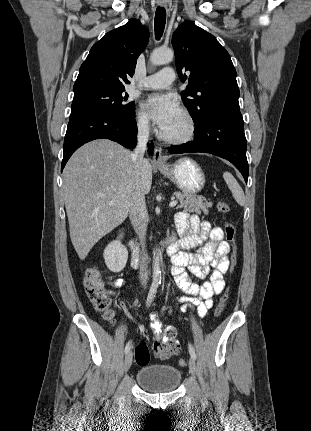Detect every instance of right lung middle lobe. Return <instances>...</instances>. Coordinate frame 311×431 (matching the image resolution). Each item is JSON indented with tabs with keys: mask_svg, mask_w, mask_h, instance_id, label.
Instances as JSON below:
<instances>
[{
	"mask_svg": "<svg viewBox=\"0 0 311 431\" xmlns=\"http://www.w3.org/2000/svg\"><path fill=\"white\" fill-rule=\"evenodd\" d=\"M125 90L89 89L74 93L71 106L73 116L84 111H103L131 116L135 113V103L127 102Z\"/></svg>",
	"mask_w": 311,
	"mask_h": 431,
	"instance_id": "right-lung-middle-lobe-1",
	"label": "right lung middle lobe"
}]
</instances>
